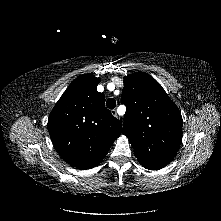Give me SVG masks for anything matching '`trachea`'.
<instances>
[{"label":"trachea","instance_id":"obj_1","mask_svg":"<svg viewBox=\"0 0 221 221\" xmlns=\"http://www.w3.org/2000/svg\"><path fill=\"white\" fill-rule=\"evenodd\" d=\"M106 106H107L109 109H114V108L116 107V101H115V99L109 98V99L106 101Z\"/></svg>","mask_w":221,"mask_h":221}]
</instances>
